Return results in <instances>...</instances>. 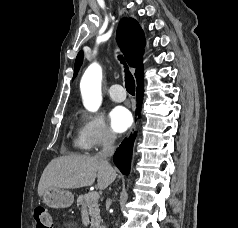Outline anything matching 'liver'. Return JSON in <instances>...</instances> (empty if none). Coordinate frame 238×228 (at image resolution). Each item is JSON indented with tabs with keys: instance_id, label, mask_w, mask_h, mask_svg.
Masks as SVG:
<instances>
[{
	"instance_id": "6515ba94",
	"label": "liver",
	"mask_w": 238,
	"mask_h": 228,
	"mask_svg": "<svg viewBox=\"0 0 238 228\" xmlns=\"http://www.w3.org/2000/svg\"><path fill=\"white\" fill-rule=\"evenodd\" d=\"M117 177L116 171L97 156L67 155L53 159L44 169L38 185V195L48 188L75 189L91 186L106 189Z\"/></svg>"
}]
</instances>
